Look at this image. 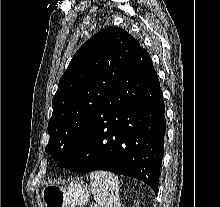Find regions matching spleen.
I'll return each mask as SVG.
<instances>
[{
	"instance_id": "1",
	"label": "spleen",
	"mask_w": 220,
	"mask_h": 207,
	"mask_svg": "<svg viewBox=\"0 0 220 207\" xmlns=\"http://www.w3.org/2000/svg\"><path fill=\"white\" fill-rule=\"evenodd\" d=\"M91 192L98 207L119 206L118 177L106 171L92 172L90 175Z\"/></svg>"
}]
</instances>
